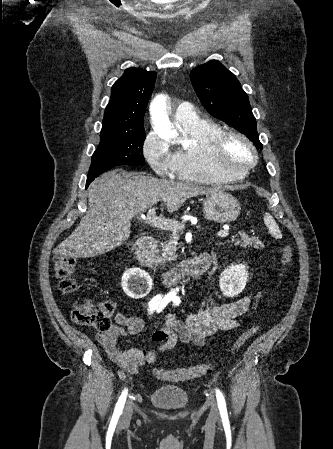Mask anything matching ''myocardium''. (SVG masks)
<instances>
[{
    "instance_id": "f54148a6",
    "label": "myocardium",
    "mask_w": 333,
    "mask_h": 449,
    "mask_svg": "<svg viewBox=\"0 0 333 449\" xmlns=\"http://www.w3.org/2000/svg\"><path fill=\"white\" fill-rule=\"evenodd\" d=\"M231 142L242 144L248 149L251 155L250 160L239 168H231L224 164L227 146ZM205 150L211 170L221 177L232 180H241L245 178L250 170L256 166L259 160L257 149L252 141L242 133L236 131L221 130L214 134L206 142Z\"/></svg>"
}]
</instances>
